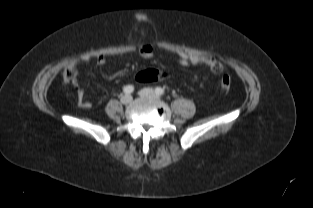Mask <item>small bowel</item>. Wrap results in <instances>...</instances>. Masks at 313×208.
Instances as JSON below:
<instances>
[{
	"instance_id": "small-bowel-1",
	"label": "small bowel",
	"mask_w": 313,
	"mask_h": 208,
	"mask_svg": "<svg viewBox=\"0 0 313 208\" xmlns=\"http://www.w3.org/2000/svg\"><path fill=\"white\" fill-rule=\"evenodd\" d=\"M139 54L143 58H152L155 55V49L151 45H145L140 48ZM179 63L183 66L198 65V64H206L210 67L211 57L210 56H199V55H188L181 53L178 55ZM91 61V57L89 55H83L78 59L74 60L67 68L68 70L74 69L77 65L89 63ZM97 65H103L106 63V57L101 55L95 60ZM77 103L81 108H90L91 103L88 100L85 90L83 88H79L77 90Z\"/></svg>"
}]
</instances>
